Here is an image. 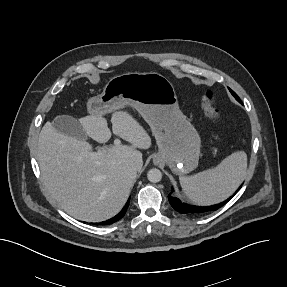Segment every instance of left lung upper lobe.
Segmentation results:
<instances>
[{
  "mask_svg": "<svg viewBox=\"0 0 287 287\" xmlns=\"http://www.w3.org/2000/svg\"><path fill=\"white\" fill-rule=\"evenodd\" d=\"M230 92L232 93V95L239 101L241 102V100L239 99V97L236 95V93L234 91H232L231 89H229Z\"/></svg>",
  "mask_w": 287,
  "mask_h": 287,
  "instance_id": "obj_1",
  "label": "left lung upper lobe"
}]
</instances>
